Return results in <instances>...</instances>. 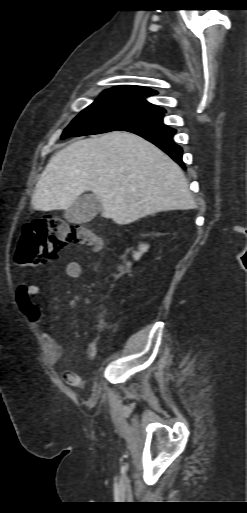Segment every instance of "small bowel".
<instances>
[{
	"label": "small bowel",
	"instance_id": "obj_1",
	"mask_svg": "<svg viewBox=\"0 0 247 513\" xmlns=\"http://www.w3.org/2000/svg\"><path fill=\"white\" fill-rule=\"evenodd\" d=\"M64 274L68 278L76 279L81 275V264L78 261H69L65 265ZM40 291L36 285H21L16 293V301L20 311L32 323L40 325L43 321V313L40 308L32 301V297ZM43 339L47 345V358L51 364L57 363L63 356V347L54 340L48 332L42 333ZM85 356L88 360H92L96 356L93 345H88ZM65 382L68 385L79 387L81 379L74 371H66L63 374Z\"/></svg>",
	"mask_w": 247,
	"mask_h": 513
}]
</instances>
